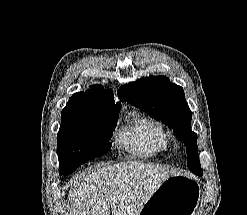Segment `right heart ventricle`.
I'll return each instance as SVG.
<instances>
[{
    "label": "right heart ventricle",
    "instance_id": "right-heart-ventricle-1",
    "mask_svg": "<svg viewBox=\"0 0 247 215\" xmlns=\"http://www.w3.org/2000/svg\"><path fill=\"white\" fill-rule=\"evenodd\" d=\"M117 142L133 156L154 158L169 147L168 134L163 125L146 115L133 113L117 132Z\"/></svg>",
    "mask_w": 247,
    "mask_h": 215
}]
</instances>
